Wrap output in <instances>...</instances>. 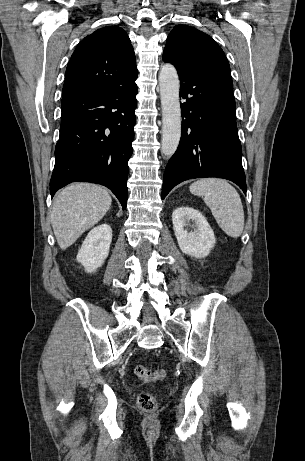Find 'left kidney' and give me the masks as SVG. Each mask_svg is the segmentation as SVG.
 I'll list each match as a JSON object with an SVG mask.
<instances>
[{"label":"left kidney","mask_w":305,"mask_h":461,"mask_svg":"<svg viewBox=\"0 0 305 461\" xmlns=\"http://www.w3.org/2000/svg\"><path fill=\"white\" fill-rule=\"evenodd\" d=\"M175 236L181 251L191 257H206L216 243L214 232L201 212L190 207L176 208L172 213ZM192 228L193 230L189 231Z\"/></svg>","instance_id":"5707ae66"}]
</instances>
